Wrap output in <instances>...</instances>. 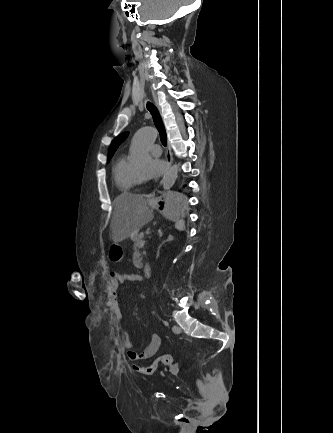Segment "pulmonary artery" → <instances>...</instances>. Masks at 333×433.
<instances>
[{"mask_svg": "<svg viewBox=\"0 0 333 433\" xmlns=\"http://www.w3.org/2000/svg\"><path fill=\"white\" fill-rule=\"evenodd\" d=\"M150 152L153 156H160L162 154V148L159 144H154L151 146Z\"/></svg>", "mask_w": 333, "mask_h": 433, "instance_id": "1", "label": "pulmonary artery"}]
</instances>
